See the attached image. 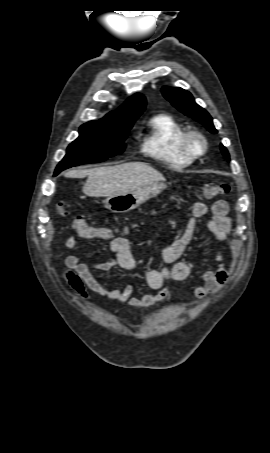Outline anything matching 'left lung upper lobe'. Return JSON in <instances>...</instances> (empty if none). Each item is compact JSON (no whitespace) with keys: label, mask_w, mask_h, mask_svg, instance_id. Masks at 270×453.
<instances>
[{"label":"left lung upper lobe","mask_w":270,"mask_h":453,"mask_svg":"<svg viewBox=\"0 0 270 453\" xmlns=\"http://www.w3.org/2000/svg\"><path fill=\"white\" fill-rule=\"evenodd\" d=\"M162 93L182 113L202 123L211 133H217L211 116L205 109L196 104L190 92L182 88L163 87ZM221 151L229 160V153L222 144Z\"/></svg>","instance_id":"1"}]
</instances>
